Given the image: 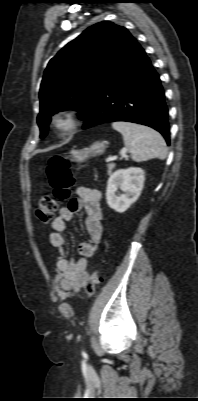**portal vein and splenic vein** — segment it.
I'll return each instance as SVG.
<instances>
[{"label":"portal vein and splenic vein","instance_id":"18ae733b","mask_svg":"<svg viewBox=\"0 0 198 401\" xmlns=\"http://www.w3.org/2000/svg\"><path fill=\"white\" fill-rule=\"evenodd\" d=\"M121 156L125 157V158L127 157L125 152H122ZM117 158H118V156H113V157L108 158L107 161L116 160Z\"/></svg>","mask_w":198,"mask_h":401}]
</instances>
